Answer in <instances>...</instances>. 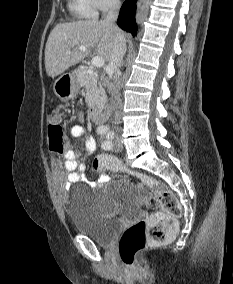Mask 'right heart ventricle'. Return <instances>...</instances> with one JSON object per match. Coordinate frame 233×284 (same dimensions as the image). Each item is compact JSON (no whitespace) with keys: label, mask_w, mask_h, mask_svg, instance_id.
Masks as SVG:
<instances>
[{"label":"right heart ventricle","mask_w":233,"mask_h":284,"mask_svg":"<svg viewBox=\"0 0 233 284\" xmlns=\"http://www.w3.org/2000/svg\"><path fill=\"white\" fill-rule=\"evenodd\" d=\"M71 9L81 18L95 19L98 16L93 0H72Z\"/></svg>","instance_id":"obj_1"}]
</instances>
